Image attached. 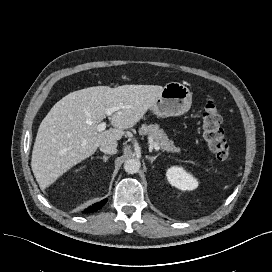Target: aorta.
Wrapping results in <instances>:
<instances>
[{
	"label": "aorta",
	"mask_w": 272,
	"mask_h": 272,
	"mask_svg": "<svg viewBox=\"0 0 272 272\" xmlns=\"http://www.w3.org/2000/svg\"><path fill=\"white\" fill-rule=\"evenodd\" d=\"M140 165V161L136 158L127 159L124 162V170L128 174H135L139 171Z\"/></svg>",
	"instance_id": "1"
}]
</instances>
